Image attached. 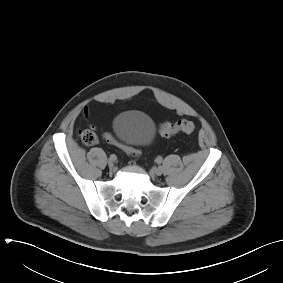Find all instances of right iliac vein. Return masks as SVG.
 Returning a JSON list of instances; mask_svg holds the SVG:
<instances>
[{
	"label": "right iliac vein",
	"instance_id": "obj_1",
	"mask_svg": "<svg viewBox=\"0 0 283 283\" xmlns=\"http://www.w3.org/2000/svg\"><path fill=\"white\" fill-rule=\"evenodd\" d=\"M108 167H109L110 169H113V168H114V162L111 161V160H109V161H108Z\"/></svg>",
	"mask_w": 283,
	"mask_h": 283
}]
</instances>
